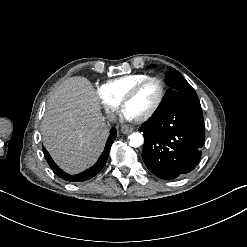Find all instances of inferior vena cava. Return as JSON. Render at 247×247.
Wrapping results in <instances>:
<instances>
[{
  "label": "inferior vena cava",
  "mask_w": 247,
  "mask_h": 247,
  "mask_svg": "<svg viewBox=\"0 0 247 247\" xmlns=\"http://www.w3.org/2000/svg\"><path fill=\"white\" fill-rule=\"evenodd\" d=\"M117 115H115V114H110V115H108V117L106 118V121L108 122V123H115V122H117Z\"/></svg>",
  "instance_id": "1"
}]
</instances>
